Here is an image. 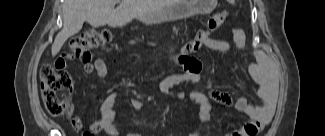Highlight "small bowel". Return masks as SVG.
<instances>
[{
	"mask_svg": "<svg viewBox=\"0 0 325 136\" xmlns=\"http://www.w3.org/2000/svg\"><path fill=\"white\" fill-rule=\"evenodd\" d=\"M221 27L216 29L209 26L202 30L205 45L208 49L218 52L231 54L234 48L240 50L245 46V34L241 29L232 27L230 32L233 37V44L228 41L215 38ZM66 53H59L55 70L61 83H64L65 92L75 93L74 86L75 77L71 73H67L66 69ZM185 67V71L180 74H172L163 78L159 83L160 91L177 100L189 99L198 104L200 125L192 134L199 136L204 133L206 127L211 120V102L216 101L221 104L233 105L238 111L246 114L249 119L237 128H229L227 136H251L254 132H258L261 127L267 125L271 119L275 105V79L272 76V67L267 57L261 51L254 52V62L248 66V72L257 85V95L261 100V105L256 107L251 105L245 97H234L230 93L223 92L214 88H208L206 92L200 91H175L174 87L183 83L198 84L203 81L204 74L208 71L207 67L196 59H187L181 61ZM84 70L87 74L96 73L99 77H105L108 73V67L101 58L96 59L93 63H85ZM117 93L107 95L100 106V117L97 121L89 125L88 133L91 135L104 131L111 136L118 135V129L115 124V111L113 109ZM131 104L134 109L140 110L142 103L137 99H132ZM70 109V108H69ZM74 110L68 113L71 124L75 128H80L82 121L73 116ZM133 136V134H128Z\"/></svg>",
	"mask_w": 325,
	"mask_h": 136,
	"instance_id": "obj_1",
	"label": "small bowel"
}]
</instances>
